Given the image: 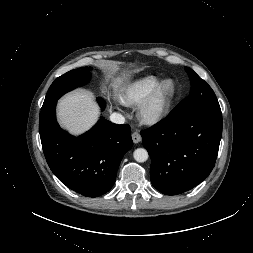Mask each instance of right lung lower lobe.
Wrapping results in <instances>:
<instances>
[{"instance_id": "obj_1", "label": "right lung lower lobe", "mask_w": 253, "mask_h": 253, "mask_svg": "<svg viewBox=\"0 0 253 253\" xmlns=\"http://www.w3.org/2000/svg\"><path fill=\"white\" fill-rule=\"evenodd\" d=\"M102 111L105 101L97 98ZM56 102L41 108L39 132L51 171L71 190L87 197L108 192L116 180L124 154L133 146L128 125L101 117L85 134L74 137L62 130L55 116Z\"/></svg>"}]
</instances>
